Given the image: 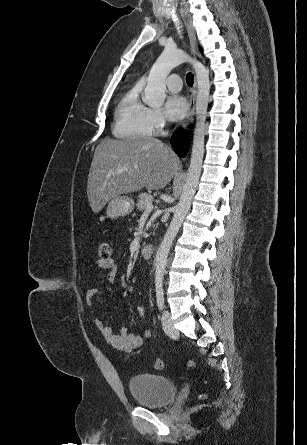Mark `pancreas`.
<instances>
[{"mask_svg":"<svg viewBox=\"0 0 307 445\" xmlns=\"http://www.w3.org/2000/svg\"><path fill=\"white\" fill-rule=\"evenodd\" d=\"M149 202H153V196H151V194H148V192H142V194H138L136 204L138 210H144Z\"/></svg>","mask_w":307,"mask_h":445,"instance_id":"obj_1","label":"pancreas"}]
</instances>
